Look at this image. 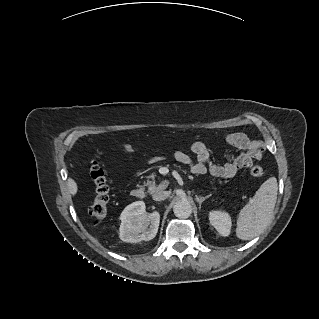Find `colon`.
<instances>
[{
	"label": "colon",
	"mask_w": 319,
	"mask_h": 319,
	"mask_svg": "<svg viewBox=\"0 0 319 319\" xmlns=\"http://www.w3.org/2000/svg\"><path fill=\"white\" fill-rule=\"evenodd\" d=\"M250 174L254 177L264 175V170L260 166H252ZM86 178L93 184L95 190V198L90 206V215L94 223L102 222L107 213V206L109 202V187L105 172L101 165L92 161L85 171Z\"/></svg>",
	"instance_id": "5ec220e1"
}]
</instances>
